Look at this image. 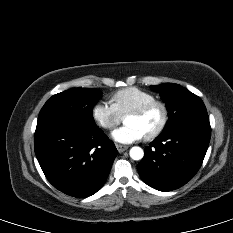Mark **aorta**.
I'll list each match as a JSON object with an SVG mask.
<instances>
[{
  "instance_id": "1",
  "label": "aorta",
  "mask_w": 233,
  "mask_h": 233,
  "mask_svg": "<svg viewBox=\"0 0 233 233\" xmlns=\"http://www.w3.org/2000/svg\"><path fill=\"white\" fill-rule=\"evenodd\" d=\"M129 154L133 160H141L144 156V151L142 148L134 146L130 149Z\"/></svg>"
}]
</instances>
